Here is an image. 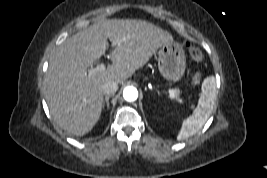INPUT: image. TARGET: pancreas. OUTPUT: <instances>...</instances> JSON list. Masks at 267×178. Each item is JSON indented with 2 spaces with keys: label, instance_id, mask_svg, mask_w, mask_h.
Segmentation results:
<instances>
[{
  "label": "pancreas",
  "instance_id": "pancreas-1",
  "mask_svg": "<svg viewBox=\"0 0 267 178\" xmlns=\"http://www.w3.org/2000/svg\"><path fill=\"white\" fill-rule=\"evenodd\" d=\"M172 98L178 102H181V103L183 102V100L180 98V91H178V90H175V94Z\"/></svg>",
  "mask_w": 267,
  "mask_h": 178
}]
</instances>
